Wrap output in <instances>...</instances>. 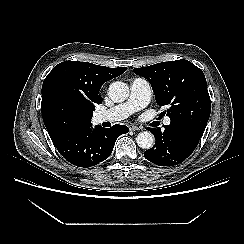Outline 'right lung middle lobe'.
Segmentation results:
<instances>
[{
	"label": "right lung middle lobe",
	"instance_id": "1",
	"mask_svg": "<svg viewBox=\"0 0 244 244\" xmlns=\"http://www.w3.org/2000/svg\"><path fill=\"white\" fill-rule=\"evenodd\" d=\"M47 116L56 130L64 132L82 126L91 118L92 113L76 106L61 94L55 93L47 106Z\"/></svg>",
	"mask_w": 244,
	"mask_h": 244
}]
</instances>
